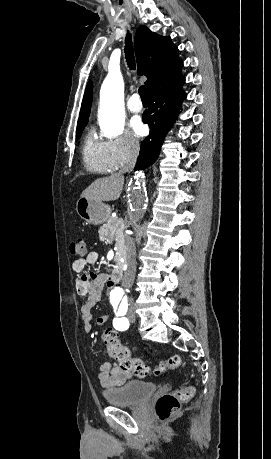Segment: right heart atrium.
I'll list each match as a JSON object with an SVG mask.
<instances>
[{
	"label": "right heart atrium",
	"mask_w": 271,
	"mask_h": 459,
	"mask_svg": "<svg viewBox=\"0 0 271 459\" xmlns=\"http://www.w3.org/2000/svg\"><path fill=\"white\" fill-rule=\"evenodd\" d=\"M107 146L109 157L115 168L134 162L141 151L140 142L128 131L108 141Z\"/></svg>",
	"instance_id": "obj_1"
}]
</instances>
